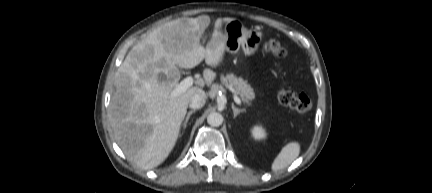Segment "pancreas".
<instances>
[{
	"mask_svg": "<svg viewBox=\"0 0 432 193\" xmlns=\"http://www.w3.org/2000/svg\"><path fill=\"white\" fill-rule=\"evenodd\" d=\"M221 84L228 89H232L234 93L240 96L241 100L247 105H251L252 100L255 98L253 88L247 84V81L242 78H237L233 73L221 75Z\"/></svg>",
	"mask_w": 432,
	"mask_h": 193,
	"instance_id": "1",
	"label": "pancreas"
}]
</instances>
